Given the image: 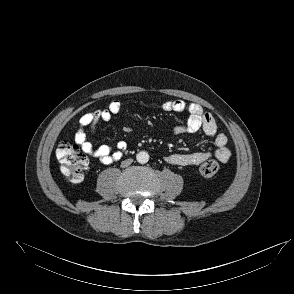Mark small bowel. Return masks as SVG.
<instances>
[{"label": "small bowel", "instance_id": "c3829d8e", "mask_svg": "<svg viewBox=\"0 0 294 294\" xmlns=\"http://www.w3.org/2000/svg\"><path fill=\"white\" fill-rule=\"evenodd\" d=\"M164 111L176 113L187 112L188 119L183 124L175 125L172 128L174 134H193L200 130L206 136L213 139L214 152L198 151L192 153H172L165 157L168 164L176 166L199 165L206 158L215 156L221 162H226L231 157V151L227 147V136L217 131V126L213 116L205 112L203 108L196 103H186L183 100H168L161 104ZM122 110V103L119 100H113L106 108L98 109L84 114L79 120V128L75 134V142L80 149L91 157L98 159L103 164H112L121 159L126 143L120 141L116 149L112 150L108 145H101L95 148L87 139L88 134L95 131L99 122H107L112 116Z\"/></svg>", "mask_w": 294, "mask_h": 294}]
</instances>
